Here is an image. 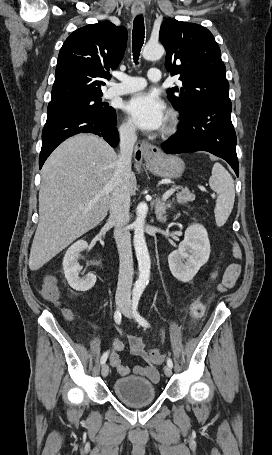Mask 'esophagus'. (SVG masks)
Instances as JSON below:
<instances>
[{
  "mask_svg": "<svg viewBox=\"0 0 272 455\" xmlns=\"http://www.w3.org/2000/svg\"><path fill=\"white\" fill-rule=\"evenodd\" d=\"M134 15L143 14L145 8L143 4H134L132 7ZM137 152H140V156L136 155V162L141 163L142 161L150 162L155 160L160 154V149L146 141H143L137 148Z\"/></svg>",
  "mask_w": 272,
  "mask_h": 455,
  "instance_id": "obj_1",
  "label": "esophagus"
}]
</instances>
